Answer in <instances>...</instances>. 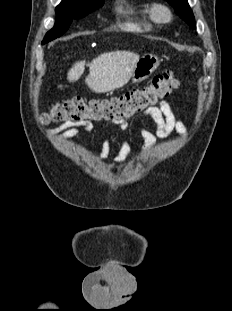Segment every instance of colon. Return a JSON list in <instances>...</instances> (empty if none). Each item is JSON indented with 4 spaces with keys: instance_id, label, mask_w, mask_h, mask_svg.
<instances>
[{
    "instance_id": "obj_1",
    "label": "colon",
    "mask_w": 232,
    "mask_h": 311,
    "mask_svg": "<svg viewBox=\"0 0 232 311\" xmlns=\"http://www.w3.org/2000/svg\"><path fill=\"white\" fill-rule=\"evenodd\" d=\"M177 86L174 72L166 70L155 75L148 85L134 88L111 99L86 101L75 96L57 102L42 114V123L48 125L67 121H121L155 106Z\"/></svg>"
}]
</instances>
